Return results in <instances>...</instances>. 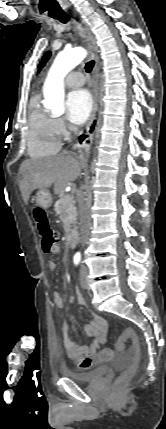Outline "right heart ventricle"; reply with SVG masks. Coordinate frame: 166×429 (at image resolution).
Masks as SVG:
<instances>
[{"instance_id":"e07e8e85","label":"right heart ventricle","mask_w":166,"mask_h":429,"mask_svg":"<svg viewBox=\"0 0 166 429\" xmlns=\"http://www.w3.org/2000/svg\"><path fill=\"white\" fill-rule=\"evenodd\" d=\"M28 126L27 149L31 157H47L58 152L60 141L53 118L41 107L37 95L30 101Z\"/></svg>"}]
</instances>
